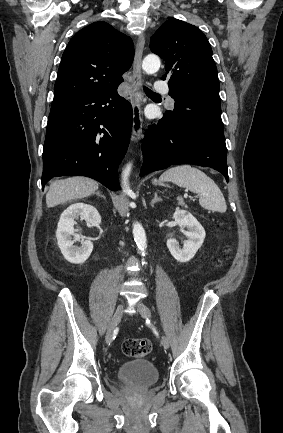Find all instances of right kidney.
<instances>
[{
  "instance_id": "right-kidney-1",
  "label": "right kidney",
  "mask_w": 283,
  "mask_h": 433,
  "mask_svg": "<svg viewBox=\"0 0 283 433\" xmlns=\"http://www.w3.org/2000/svg\"><path fill=\"white\" fill-rule=\"evenodd\" d=\"M79 217L89 226L101 224V216L92 205L75 203L63 211L56 231L57 243L64 258L74 264L84 263L93 251V243L90 240H82L80 247L74 246V242L83 238L74 229L75 219Z\"/></svg>"
}]
</instances>
